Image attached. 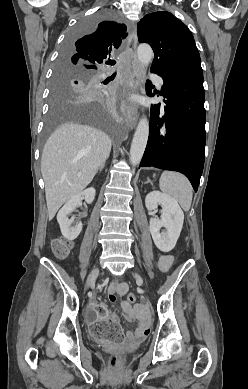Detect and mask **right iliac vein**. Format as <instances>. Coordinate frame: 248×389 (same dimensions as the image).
Here are the masks:
<instances>
[{"label":"right iliac vein","instance_id":"63e3f726","mask_svg":"<svg viewBox=\"0 0 248 389\" xmlns=\"http://www.w3.org/2000/svg\"><path fill=\"white\" fill-rule=\"evenodd\" d=\"M98 274H99V268H95L92 270V272L90 273L88 280H87L88 287L94 284Z\"/></svg>","mask_w":248,"mask_h":389}]
</instances>
